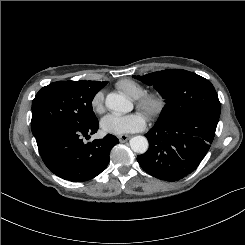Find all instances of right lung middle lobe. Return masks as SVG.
Instances as JSON below:
<instances>
[{"label":"right lung middle lobe","instance_id":"dd1d6c3e","mask_svg":"<svg viewBox=\"0 0 245 245\" xmlns=\"http://www.w3.org/2000/svg\"><path fill=\"white\" fill-rule=\"evenodd\" d=\"M106 84L98 81H58L41 88L32 102L33 135L49 124L82 128L97 122L91 102Z\"/></svg>","mask_w":245,"mask_h":245}]
</instances>
